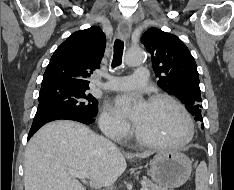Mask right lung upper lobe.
Wrapping results in <instances>:
<instances>
[{
	"instance_id": "obj_1",
	"label": "right lung upper lobe",
	"mask_w": 234,
	"mask_h": 190,
	"mask_svg": "<svg viewBox=\"0 0 234 190\" xmlns=\"http://www.w3.org/2000/svg\"><path fill=\"white\" fill-rule=\"evenodd\" d=\"M105 47V34L98 26L74 32L52 55L42 85L65 83L89 87L88 78L99 68Z\"/></svg>"
}]
</instances>
